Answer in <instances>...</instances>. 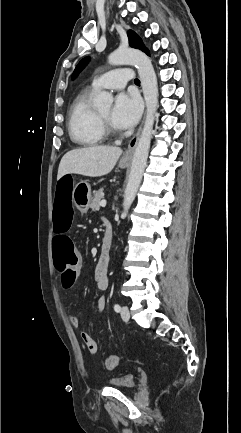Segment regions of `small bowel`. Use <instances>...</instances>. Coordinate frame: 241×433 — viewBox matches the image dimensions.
<instances>
[{"label":"small bowel","instance_id":"small-bowel-1","mask_svg":"<svg viewBox=\"0 0 241 433\" xmlns=\"http://www.w3.org/2000/svg\"><path fill=\"white\" fill-rule=\"evenodd\" d=\"M108 267H109V258L103 257L102 255L99 257L94 271V277L97 285V289L100 291H104L109 286V277H108ZM106 307V298L104 296L100 297L97 301V309L99 312L105 310ZM70 323L73 327L77 328L80 325V320L77 316L71 315L69 317ZM81 339L85 343L88 351L91 354H95L98 351V342L95 338H93L87 332H81Z\"/></svg>","mask_w":241,"mask_h":433}]
</instances>
